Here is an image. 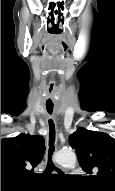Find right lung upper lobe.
<instances>
[{
  "instance_id": "right-lung-upper-lobe-1",
  "label": "right lung upper lobe",
  "mask_w": 115,
  "mask_h": 191,
  "mask_svg": "<svg viewBox=\"0 0 115 191\" xmlns=\"http://www.w3.org/2000/svg\"><path fill=\"white\" fill-rule=\"evenodd\" d=\"M42 136L24 133L1 139V188H18L42 160L45 146Z\"/></svg>"
}]
</instances>
